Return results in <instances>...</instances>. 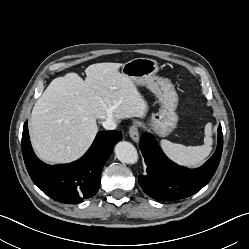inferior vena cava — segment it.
<instances>
[{
  "label": "inferior vena cava",
  "instance_id": "obj_1",
  "mask_svg": "<svg viewBox=\"0 0 249 249\" xmlns=\"http://www.w3.org/2000/svg\"><path fill=\"white\" fill-rule=\"evenodd\" d=\"M105 130H114L117 127V122L114 119H107L102 122Z\"/></svg>",
  "mask_w": 249,
  "mask_h": 249
}]
</instances>
